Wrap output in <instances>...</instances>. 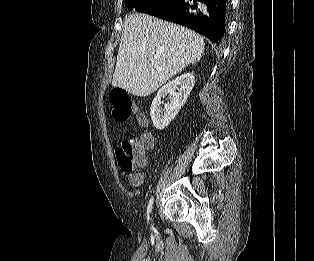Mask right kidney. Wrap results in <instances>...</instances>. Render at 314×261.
Segmentation results:
<instances>
[{
	"mask_svg": "<svg viewBox=\"0 0 314 261\" xmlns=\"http://www.w3.org/2000/svg\"><path fill=\"white\" fill-rule=\"evenodd\" d=\"M195 78L191 73H185L161 87L153 99L150 116L156 129L162 130L175 118L181 106L186 102ZM168 95L169 102L161 108V99Z\"/></svg>",
	"mask_w": 314,
	"mask_h": 261,
	"instance_id": "1",
	"label": "right kidney"
}]
</instances>
